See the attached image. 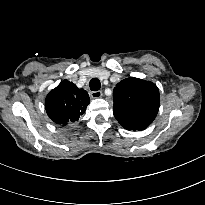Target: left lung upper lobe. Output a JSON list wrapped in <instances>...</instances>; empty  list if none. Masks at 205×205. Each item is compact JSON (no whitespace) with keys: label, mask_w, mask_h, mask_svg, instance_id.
I'll use <instances>...</instances> for the list:
<instances>
[{"label":"left lung upper lobe","mask_w":205,"mask_h":205,"mask_svg":"<svg viewBox=\"0 0 205 205\" xmlns=\"http://www.w3.org/2000/svg\"><path fill=\"white\" fill-rule=\"evenodd\" d=\"M113 100V113L122 127L142 131L155 119L160 97L154 83L129 77L116 85Z\"/></svg>","instance_id":"obj_1"}]
</instances>
